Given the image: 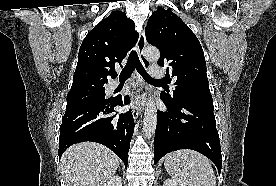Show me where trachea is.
<instances>
[{
    "label": "trachea",
    "instance_id": "3493384b",
    "mask_svg": "<svg viewBox=\"0 0 276 186\" xmlns=\"http://www.w3.org/2000/svg\"><path fill=\"white\" fill-rule=\"evenodd\" d=\"M135 68L146 81L163 83L162 80L154 79L146 72V70L144 69L142 63L140 62L137 52L135 50L131 51L128 61L119 75L120 81L127 80L131 76V74L135 70Z\"/></svg>",
    "mask_w": 276,
    "mask_h": 186
}]
</instances>
